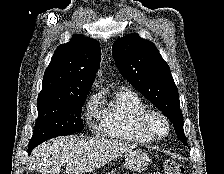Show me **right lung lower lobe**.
<instances>
[{
	"mask_svg": "<svg viewBox=\"0 0 224 174\" xmlns=\"http://www.w3.org/2000/svg\"><path fill=\"white\" fill-rule=\"evenodd\" d=\"M33 148H34V147H28V152H29V154L31 153V151H32Z\"/></svg>",
	"mask_w": 224,
	"mask_h": 174,
	"instance_id": "98d812e1",
	"label": "right lung lower lobe"
}]
</instances>
